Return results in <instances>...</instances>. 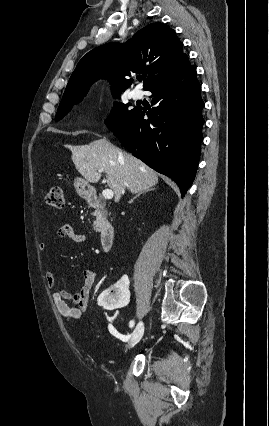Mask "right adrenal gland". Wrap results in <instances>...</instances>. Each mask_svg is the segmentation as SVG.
<instances>
[{
    "label": "right adrenal gland",
    "instance_id": "obj_1",
    "mask_svg": "<svg viewBox=\"0 0 269 426\" xmlns=\"http://www.w3.org/2000/svg\"><path fill=\"white\" fill-rule=\"evenodd\" d=\"M152 190H154V189H152ZM148 191L149 190H144V191L139 192L133 199H131L129 201V203H132L137 197H139L141 194H144L145 192H148Z\"/></svg>",
    "mask_w": 269,
    "mask_h": 426
}]
</instances>
